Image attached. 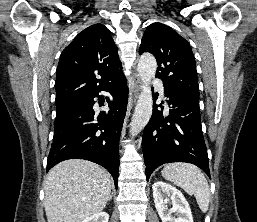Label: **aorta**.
<instances>
[{
	"label": "aorta",
	"mask_w": 257,
	"mask_h": 222,
	"mask_svg": "<svg viewBox=\"0 0 257 222\" xmlns=\"http://www.w3.org/2000/svg\"><path fill=\"white\" fill-rule=\"evenodd\" d=\"M156 69L157 62L155 57L149 53L142 54L137 65V72L142 82V90L130 123L132 137L142 131L152 115L153 99L150 82L155 76Z\"/></svg>",
	"instance_id": "762f6f07"
}]
</instances>
